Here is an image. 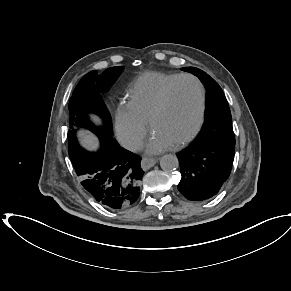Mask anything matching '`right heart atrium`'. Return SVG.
<instances>
[{
    "instance_id": "right-heart-atrium-1",
    "label": "right heart atrium",
    "mask_w": 291,
    "mask_h": 291,
    "mask_svg": "<svg viewBox=\"0 0 291 291\" xmlns=\"http://www.w3.org/2000/svg\"><path fill=\"white\" fill-rule=\"evenodd\" d=\"M116 130L120 141L131 150H138L147 135L148 125L137 118L128 105H121L116 114Z\"/></svg>"
}]
</instances>
